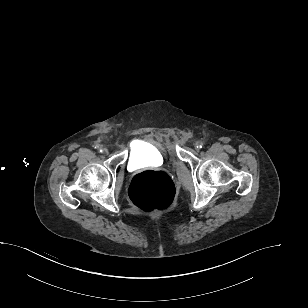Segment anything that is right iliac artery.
I'll return each mask as SVG.
<instances>
[{
  "label": "right iliac artery",
  "mask_w": 308,
  "mask_h": 308,
  "mask_svg": "<svg viewBox=\"0 0 308 308\" xmlns=\"http://www.w3.org/2000/svg\"><path fill=\"white\" fill-rule=\"evenodd\" d=\"M95 148H97V149H98V151H100V152H102V151H103V147H102V146H100V145H96V146H95Z\"/></svg>",
  "instance_id": "right-iliac-artery-1"
}]
</instances>
